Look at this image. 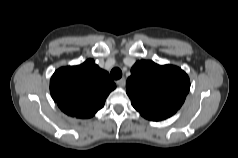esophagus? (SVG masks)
Here are the masks:
<instances>
[{
	"instance_id": "1",
	"label": "esophagus",
	"mask_w": 238,
	"mask_h": 158,
	"mask_svg": "<svg viewBox=\"0 0 238 158\" xmlns=\"http://www.w3.org/2000/svg\"><path fill=\"white\" fill-rule=\"evenodd\" d=\"M116 84L120 87H124L126 84V79L125 78H121L119 80L116 81Z\"/></svg>"
}]
</instances>
